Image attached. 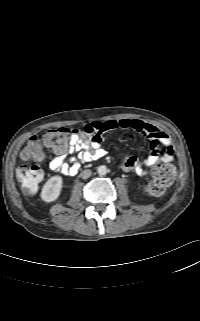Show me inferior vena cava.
I'll return each mask as SVG.
<instances>
[{
  "instance_id": "inferior-vena-cava-1",
  "label": "inferior vena cava",
  "mask_w": 200,
  "mask_h": 321,
  "mask_svg": "<svg viewBox=\"0 0 200 321\" xmlns=\"http://www.w3.org/2000/svg\"><path fill=\"white\" fill-rule=\"evenodd\" d=\"M91 174H92V171L89 169H86L81 172L80 176L82 179H87L91 176Z\"/></svg>"
}]
</instances>
